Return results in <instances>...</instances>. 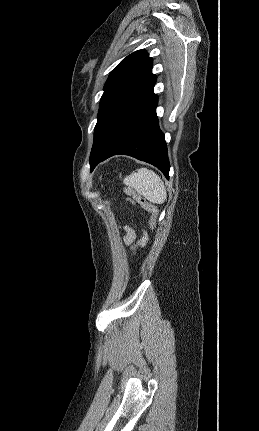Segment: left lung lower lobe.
<instances>
[{
    "mask_svg": "<svg viewBox=\"0 0 259 431\" xmlns=\"http://www.w3.org/2000/svg\"><path fill=\"white\" fill-rule=\"evenodd\" d=\"M158 96L150 94L115 126L90 158V170L105 159L124 154L156 166L169 178V161L164 134L156 115Z\"/></svg>",
    "mask_w": 259,
    "mask_h": 431,
    "instance_id": "obj_1",
    "label": "left lung lower lobe"
}]
</instances>
